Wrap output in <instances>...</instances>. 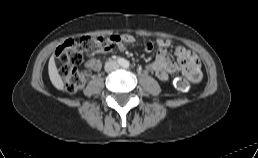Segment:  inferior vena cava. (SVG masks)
Returning <instances> with one entry per match:
<instances>
[{
	"mask_svg": "<svg viewBox=\"0 0 258 158\" xmlns=\"http://www.w3.org/2000/svg\"><path fill=\"white\" fill-rule=\"evenodd\" d=\"M118 69H119V64L116 61L111 60V61L106 62V64H105L106 72H113Z\"/></svg>",
	"mask_w": 258,
	"mask_h": 158,
	"instance_id": "602c4592",
	"label": "inferior vena cava"
}]
</instances>
